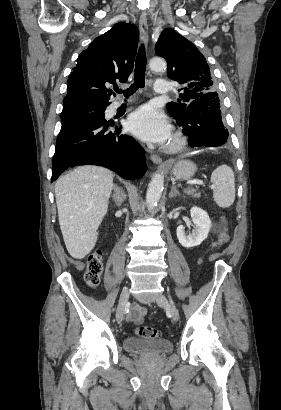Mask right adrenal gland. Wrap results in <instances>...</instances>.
Masks as SVG:
<instances>
[{
  "instance_id": "obj_1",
  "label": "right adrenal gland",
  "mask_w": 281,
  "mask_h": 410,
  "mask_svg": "<svg viewBox=\"0 0 281 410\" xmlns=\"http://www.w3.org/2000/svg\"><path fill=\"white\" fill-rule=\"evenodd\" d=\"M113 189L114 194L112 196V199L114 200L116 206H120L125 200V194L123 190L116 184L113 185Z\"/></svg>"
}]
</instances>
